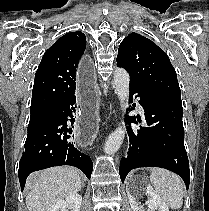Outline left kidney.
<instances>
[{
  "label": "left kidney",
  "instance_id": "obj_1",
  "mask_svg": "<svg viewBox=\"0 0 209 211\" xmlns=\"http://www.w3.org/2000/svg\"><path fill=\"white\" fill-rule=\"evenodd\" d=\"M145 187V188H144ZM145 189V194L148 196L149 200L146 202L148 206V211H169L168 206L159 197L150 184L145 182H131L127 190V195L131 209L133 211H141L140 202L137 201V195L139 189Z\"/></svg>",
  "mask_w": 209,
  "mask_h": 211
}]
</instances>
